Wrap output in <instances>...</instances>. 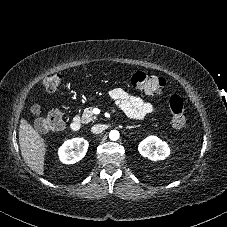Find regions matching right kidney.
I'll return each mask as SVG.
<instances>
[{
    "label": "right kidney",
    "instance_id": "1",
    "mask_svg": "<svg viewBox=\"0 0 227 227\" xmlns=\"http://www.w3.org/2000/svg\"><path fill=\"white\" fill-rule=\"evenodd\" d=\"M88 146V141L83 138L67 140L58 150L59 159L64 164H74L85 156Z\"/></svg>",
    "mask_w": 227,
    "mask_h": 227
}]
</instances>
